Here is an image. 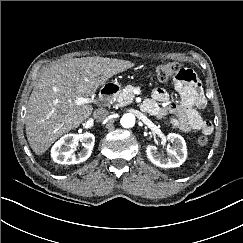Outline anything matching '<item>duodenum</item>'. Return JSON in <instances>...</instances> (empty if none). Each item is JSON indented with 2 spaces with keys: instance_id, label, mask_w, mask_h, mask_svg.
Instances as JSON below:
<instances>
[{
  "instance_id": "410a0bca",
  "label": "duodenum",
  "mask_w": 243,
  "mask_h": 243,
  "mask_svg": "<svg viewBox=\"0 0 243 243\" xmlns=\"http://www.w3.org/2000/svg\"><path fill=\"white\" fill-rule=\"evenodd\" d=\"M119 91V86L114 83L105 85L100 91V99L106 101L111 99Z\"/></svg>"
}]
</instances>
